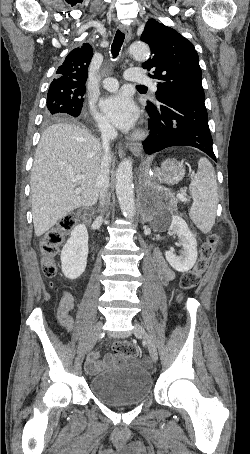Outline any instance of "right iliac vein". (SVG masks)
I'll return each instance as SVG.
<instances>
[{"mask_svg":"<svg viewBox=\"0 0 250 454\" xmlns=\"http://www.w3.org/2000/svg\"><path fill=\"white\" fill-rule=\"evenodd\" d=\"M101 331H102V322H98L94 327L93 334H92V337H91L89 345H88V350H91L95 346L97 340L99 339V337L101 335Z\"/></svg>","mask_w":250,"mask_h":454,"instance_id":"63e3f726","label":"right iliac vein"}]
</instances>
